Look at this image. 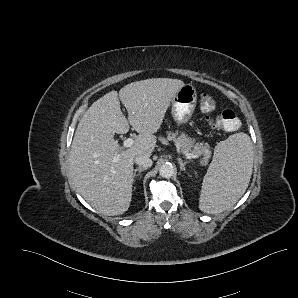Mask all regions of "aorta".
I'll use <instances>...</instances> for the list:
<instances>
[{"instance_id": "obj_1", "label": "aorta", "mask_w": 298, "mask_h": 298, "mask_svg": "<svg viewBox=\"0 0 298 298\" xmlns=\"http://www.w3.org/2000/svg\"><path fill=\"white\" fill-rule=\"evenodd\" d=\"M175 173V168L171 163H164L159 168V175L163 178H171Z\"/></svg>"}]
</instances>
